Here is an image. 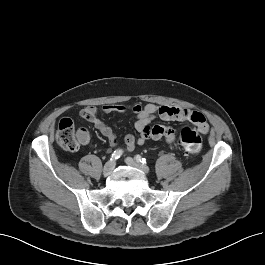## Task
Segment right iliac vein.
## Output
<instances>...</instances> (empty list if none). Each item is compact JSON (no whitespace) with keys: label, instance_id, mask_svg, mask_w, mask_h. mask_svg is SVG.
Masks as SVG:
<instances>
[{"label":"right iliac vein","instance_id":"right-iliac-vein-1","mask_svg":"<svg viewBox=\"0 0 265 265\" xmlns=\"http://www.w3.org/2000/svg\"><path fill=\"white\" fill-rule=\"evenodd\" d=\"M115 167V161H108L103 167V175L106 177L112 173Z\"/></svg>","mask_w":265,"mask_h":265}]
</instances>
